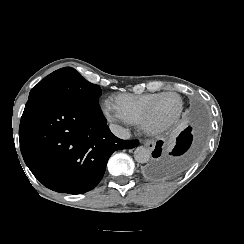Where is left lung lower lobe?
Instances as JSON below:
<instances>
[{
	"label": "left lung lower lobe",
	"mask_w": 244,
	"mask_h": 244,
	"mask_svg": "<svg viewBox=\"0 0 244 244\" xmlns=\"http://www.w3.org/2000/svg\"><path fill=\"white\" fill-rule=\"evenodd\" d=\"M192 128L188 127L177 137L176 145L172 152L169 153L171 158L160 157L162 149L159 143L156 144L155 150L152 152L156 160H152L146 167L148 175L153 177H159L166 174H170L178 171L183 167L187 161L183 159H177V157L183 155L190 147L192 143ZM160 157V158H159Z\"/></svg>",
	"instance_id": "0a47b994"
}]
</instances>
